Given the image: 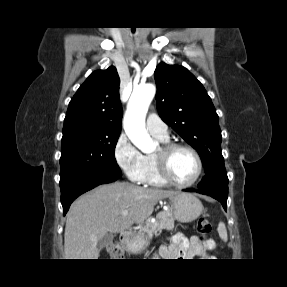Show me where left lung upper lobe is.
<instances>
[{"instance_id":"1","label":"left lung upper lobe","mask_w":287,"mask_h":287,"mask_svg":"<svg viewBox=\"0 0 287 287\" xmlns=\"http://www.w3.org/2000/svg\"><path fill=\"white\" fill-rule=\"evenodd\" d=\"M154 74L160 117L201 157L206 176L198 188L228 194L219 117L205 88L183 66L162 62Z\"/></svg>"}]
</instances>
